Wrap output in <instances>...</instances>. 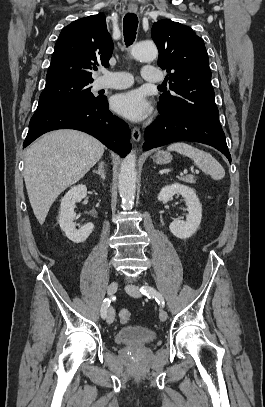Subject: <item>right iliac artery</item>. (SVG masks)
Segmentation results:
<instances>
[{
    "label": "right iliac artery",
    "instance_id": "1",
    "mask_svg": "<svg viewBox=\"0 0 265 407\" xmlns=\"http://www.w3.org/2000/svg\"><path fill=\"white\" fill-rule=\"evenodd\" d=\"M111 300L106 298L103 300L102 307H101V317L104 319L107 316V309L110 305Z\"/></svg>",
    "mask_w": 265,
    "mask_h": 407
}]
</instances>
